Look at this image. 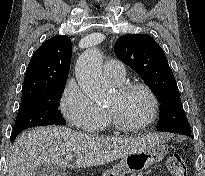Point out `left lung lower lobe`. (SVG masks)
Instances as JSON below:
<instances>
[{
  "label": "left lung lower lobe",
  "mask_w": 205,
  "mask_h": 176,
  "mask_svg": "<svg viewBox=\"0 0 205 176\" xmlns=\"http://www.w3.org/2000/svg\"><path fill=\"white\" fill-rule=\"evenodd\" d=\"M184 135V134H183ZM186 136H189V137H191V138H193V136L191 135V132L190 133H187V134H185Z\"/></svg>",
  "instance_id": "0a47b994"
}]
</instances>
